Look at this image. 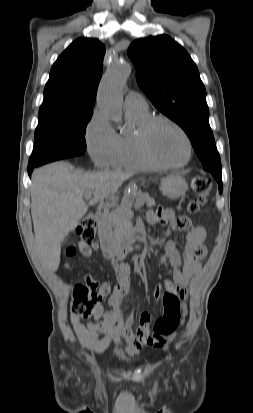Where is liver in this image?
I'll list each match as a JSON object with an SVG mask.
<instances>
[{
    "mask_svg": "<svg viewBox=\"0 0 253 413\" xmlns=\"http://www.w3.org/2000/svg\"><path fill=\"white\" fill-rule=\"evenodd\" d=\"M130 173L72 171L65 162L38 168L32 176L31 215L36 251L41 264L55 272L60 264L61 243L88 210L83 194L94 191L90 205L113 196Z\"/></svg>",
    "mask_w": 253,
    "mask_h": 413,
    "instance_id": "6515ba94",
    "label": "liver"
}]
</instances>
